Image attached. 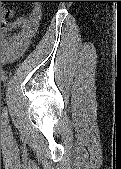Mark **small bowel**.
Segmentation results:
<instances>
[{"mask_svg":"<svg viewBox=\"0 0 121 169\" xmlns=\"http://www.w3.org/2000/svg\"><path fill=\"white\" fill-rule=\"evenodd\" d=\"M40 19L41 10L37 7L17 19L12 10L3 11L1 59L4 63L14 62L27 51L36 36Z\"/></svg>","mask_w":121,"mask_h":169,"instance_id":"c3829d8e","label":"small bowel"}]
</instances>
